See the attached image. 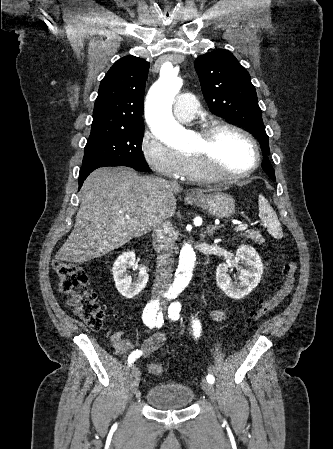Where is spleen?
<instances>
[{
  "label": "spleen",
  "mask_w": 333,
  "mask_h": 449,
  "mask_svg": "<svg viewBox=\"0 0 333 449\" xmlns=\"http://www.w3.org/2000/svg\"><path fill=\"white\" fill-rule=\"evenodd\" d=\"M259 217L261 221L267 226L269 233L276 239L283 237L282 227L277 214L271 207L268 200L263 196H258Z\"/></svg>",
  "instance_id": "1"
}]
</instances>
